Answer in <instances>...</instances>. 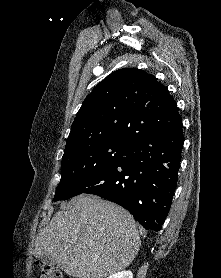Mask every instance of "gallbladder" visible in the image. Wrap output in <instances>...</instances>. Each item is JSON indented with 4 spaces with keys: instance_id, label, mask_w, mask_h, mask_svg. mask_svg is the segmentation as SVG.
Listing matches in <instances>:
<instances>
[{
    "instance_id": "gallbladder-1",
    "label": "gallbladder",
    "mask_w": 221,
    "mask_h": 278,
    "mask_svg": "<svg viewBox=\"0 0 221 278\" xmlns=\"http://www.w3.org/2000/svg\"><path fill=\"white\" fill-rule=\"evenodd\" d=\"M41 259V262L44 264V265H47V266H55L56 265V259L54 256H52L51 254L49 253H45L44 255H42L40 257Z\"/></svg>"
}]
</instances>
